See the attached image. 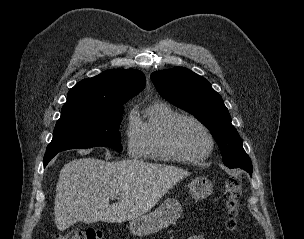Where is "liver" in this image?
I'll return each mask as SVG.
<instances>
[{"label":"liver","instance_id":"1","mask_svg":"<svg viewBox=\"0 0 304 239\" xmlns=\"http://www.w3.org/2000/svg\"><path fill=\"white\" fill-rule=\"evenodd\" d=\"M186 170L141 160L75 159L63 166L56 185L54 222L63 231L74 223H121L150 211ZM112 195L118 202L109 204Z\"/></svg>","mask_w":304,"mask_h":239}]
</instances>
